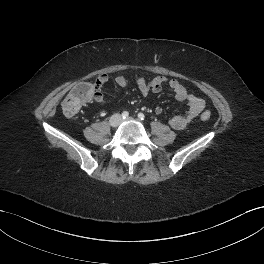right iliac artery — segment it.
Returning a JSON list of instances; mask_svg holds the SVG:
<instances>
[{
  "mask_svg": "<svg viewBox=\"0 0 264 264\" xmlns=\"http://www.w3.org/2000/svg\"><path fill=\"white\" fill-rule=\"evenodd\" d=\"M128 116H129V113H128L127 111H124V112L122 113V118H123V119L127 118Z\"/></svg>",
  "mask_w": 264,
  "mask_h": 264,
  "instance_id": "right-iliac-artery-1",
  "label": "right iliac artery"
}]
</instances>
